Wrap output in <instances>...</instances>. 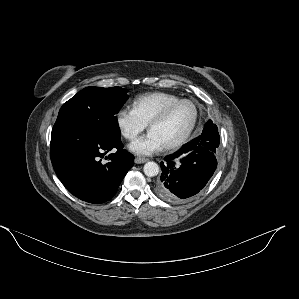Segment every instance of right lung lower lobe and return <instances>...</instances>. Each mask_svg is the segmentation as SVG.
Returning a JSON list of instances; mask_svg holds the SVG:
<instances>
[{
    "mask_svg": "<svg viewBox=\"0 0 299 299\" xmlns=\"http://www.w3.org/2000/svg\"><path fill=\"white\" fill-rule=\"evenodd\" d=\"M50 149L53 168L62 184L77 198L94 204L113 197L134 163L120 138L101 134L63 135L51 139ZM112 149L117 151L106 156Z\"/></svg>",
    "mask_w": 299,
    "mask_h": 299,
    "instance_id": "1",
    "label": "right lung lower lobe"
}]
</instances>
